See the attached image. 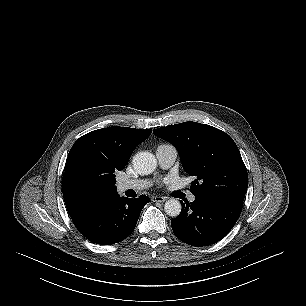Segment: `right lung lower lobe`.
Instances as JSON below:
<instances>
[{"label": "right lung lower lobe", "instance_id": "right-lung-lower-lobe-1", "mask_svg": "<svg viewBox=\"0 0 306 306\" xmlns=\"http://www.w3.org/2000/svg\"><path fill=\"white\" fill-rule=\"evenodd\" d=\"M149 198L117 197L74 219L78 231L93 243L109 245L127 238L134 230L142 208Z\"/></svg>", "mask_w": 306, "mask_h": 306}]
</instances>
